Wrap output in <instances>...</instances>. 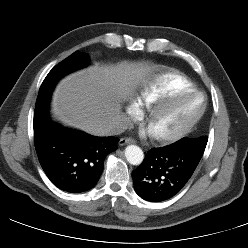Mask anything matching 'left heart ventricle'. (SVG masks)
Wrapping results in <instances>:
<instances>
[{"mask_svg":"<svg viewBox=\"0 0 248 248\" xmlns=\"http://www.w3.org/2000/svg\"><path fill=\"white\" fill-rule=\"evenodd\" d=\"M202 106L203 98L199 94L181 98L168 110L153 119L149 129L154 135L174 132L196 115Z\"/></svg>","mask_w":248,"mask_h":248,"instance_id":"b2bd125f","label":"left heart ventricle"}]
</instances>
